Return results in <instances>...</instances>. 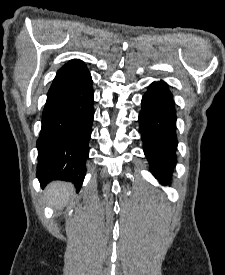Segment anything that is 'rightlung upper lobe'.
Instances as JSON below:
<instances>
[{"label": "right lung upper lobe", "instance_id": "obj_1", "mask_svg": "<svg viewBox=\"0 0 225 275\" xmlns=\"http://www.w3.org/2000/svg\"><path fill=\"white\" fill-rule=\"evenodd\" d=\"M91 79L90 73L83 61L70 60L58 70L49 91L78 85Z\"/></svg>", "mask_w": 225, "mask_h": 275}]
</instances>
